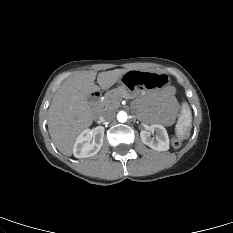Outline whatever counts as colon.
I'll list each match as a JSON object with an SVG mask.
<instances>
[{
  "instance_id": "obj_1",
  "label": "colon",
  "mask_w": 233,
  "mask_h": 233,
  "mask_svg": "<svg viewBox=\"0 0 233 233\" xmlns=\"http://www.w3.org/2000/svg\"><path fill=\"white\" fill-rule=\"evenodd\" d=\"M181 141H182V136L180 135H173L171 137V143L174 147H177L181 144Z\"/></svg>"
}]
</instances>
